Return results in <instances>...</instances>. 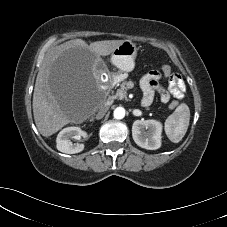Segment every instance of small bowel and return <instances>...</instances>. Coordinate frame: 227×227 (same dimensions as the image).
<instances>
[{
    "instance_id": "c3829d8e",
    "label": "small bowel",
    "mask_w": 227,
    "mask_h": 227,
    "mask_svg": "<svg viewBox=\"0 0 227 227\" xmlns=\"http://www.w3.org/2000/svg\"><path fill=\"white\" fill-rule=\"evenodd\" d=\"M161 73L157 70L150 71L140 81L143 91L142 104L149 106L152 104L155 92L160 93L162 102L167 103L171 96L181 99L184 96L185 83L179 74H171L168 80V88L160 84Z\"/></svg>"
}]
</instances>
